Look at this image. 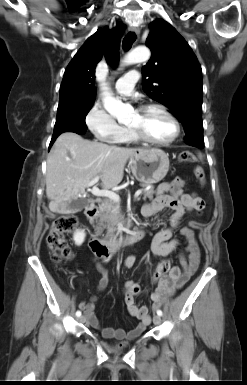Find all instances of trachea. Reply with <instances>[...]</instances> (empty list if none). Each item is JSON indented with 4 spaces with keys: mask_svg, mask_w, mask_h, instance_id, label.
Listing matches in <instances>:
<instances>
[{
    "mask_svg": "<svg viewBox=\"0 0 247 385\" xmlns=\"http://www.w3.org/2000/svg\"><path fill=\"white\" fill-rule=\"evenodd\" d=\"M136 40V34L134 32H128V34L123 39V48L124 50H129L132 47V44Z\"/></svg>",
    "mask_w": 247,
    "mask_h": 385,
    "instance_id": "obj_1",
    "label": "trachea"
}]
</instances>
